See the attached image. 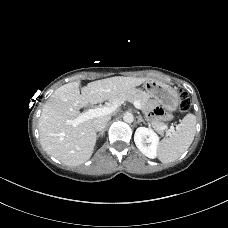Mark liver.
Returning a JSON list of instances; mask_svg holds the SVG:
<instances>
[{
	"label": "liver",
	"instance_id": "1",
	"mask_svg": "<svg viewBox=\"0 0 228 228\" xmlns=\"http://www.w3.org/2000/svg\"><path fill=\"white\" fill-rule=\"evenodd\" d=\"M148 78L116 76L88 83L81 89L75 81L59 87L42 109L38 129L44 151L68 166H79L90 159L96 144V119H89L74 127L66 124L80 115V109L88 104L115 101L124 92L148 81Z\"/></svg>",
	"mask_w": 228,
	"mask_h": 228
}]
</instances>
